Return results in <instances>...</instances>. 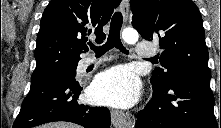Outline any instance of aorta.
<instances>
[{"mask_svg": "<svg viewBox=\"0 0 221 128\" xmlns=\"http://www.w3.org/2000/svg\"><path fill=\"white\" fill-rule=\"evenodd\" d=\"M122 38L128 44H135L139 39V34L135 29L126 28L122 32Z\"/></svg>", "mask_w": 221, "mask_h": 128, "instance_id": "1", "label": "aorta"}]
</instances>
